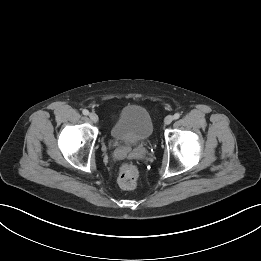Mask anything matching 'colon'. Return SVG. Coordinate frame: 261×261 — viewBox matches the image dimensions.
I'll use <instances>...</instances> for the list:
<instances>
[{
  "label": "colon",
  "mask_w": 261,
  "mask_h": 261,
  "mask_svg": "<svg viewBox=\"0 0 261 261\" xmlns=\"http://www.w3.org/2000/svg\"><path fill=\"white\" fill-rule=\"evenodd\" d=\"M139 172L132 163H124L119 170L118 183L124 189H133L138 180Z\"/></svg>",
  "instance_id": "5ec220e1"
}]
</instances>
